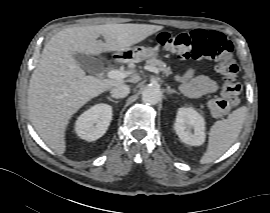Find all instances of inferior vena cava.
Wrapping results in <instances>:
<instances>
[{"instance_id":"1","label":"inferior vena cava","mask_w":270,"mask_h":213,"mask_svg":"<svg viewBox=\"0 0 270 213\" xmlns=\"http://www.w3.org/2000/svg\"><path fill=\"white\" fill-rule=\"evenodd\" d=\"M129 92H130V88L128 85L120 84L112 88L110 93L113 98L120 99V98L126 97L129 94Z\"/></svg>"}]
</instances>
